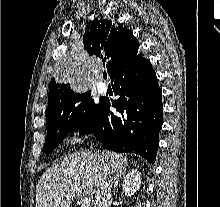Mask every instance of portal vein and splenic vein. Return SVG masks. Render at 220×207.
<instances>
[{"instance_id": "18ae733b", "label": "portal vein and splenic vein", "mask_w": 220, "mask_h": 207, "mask_svg": "<svg viewBox=\"0 0 220 207\" xmlns=\"http://www.w3.org/2000/svg\"><path fill=\"white\" fill-rule=\"evenodd\" d=\"M90 204H91V198L90 197H83L82 199H81V205H82V207H89L90 206Z\"/></svg>"}]
</instances>
